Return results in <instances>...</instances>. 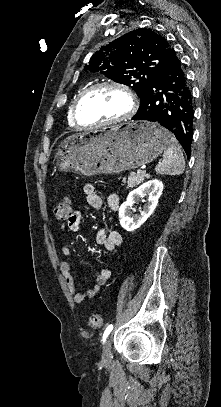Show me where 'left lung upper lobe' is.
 I'll return each instance as SVG.
<instances>
[{
    "label": "left lung upper lobe",
    "mask_w": 221,
    "mask_h": 407,
    "mask_svg": "<svg viewBox=\"0 0 221 407\" xmlns=\"http://www.w3.org/2000/svg\"><path fill=\"white\" fill-rule=\"evenodd\" d=\"M173 51L163 36L139 28L102 46L84 70L130 86L141 98L150 80L171 60Z\"/></svg>",
    "instance_id": "5c2ea615"
}]
</instances>
